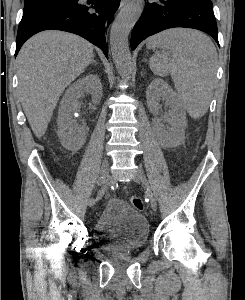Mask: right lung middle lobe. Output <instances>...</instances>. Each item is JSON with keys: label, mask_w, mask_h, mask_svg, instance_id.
Segmentation results:
<instances>
[{"label": "right lung middle lobe", "mask_w": 245, "mask_h": 300, "mask_svg": "<svg viewBox=\"0 0 245 300\" xmlns=\"http://www.w3.org/2000/svg\"><path fill=\"white\" fill-rule=\"evenodd\" d=\"M71 0H34L30 2H25L23 14H27L36 10L47 8L56 4L68 2Z\"/></svg>", "instance_id": "dd1d6c3e"}]
</instances>
